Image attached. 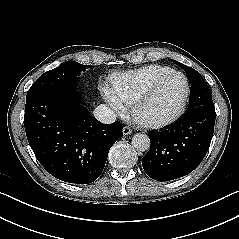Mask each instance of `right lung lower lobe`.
Segmentation results:
<instances>
[{"label":"right lung lower lobe","instance_id":"1","mask_svg":"<svg viewBox=\"0 0 239 239\" xmlns=\"http://www.w3.org/2000/svg\"><path fill=\"white\" fill-rule=\"evenodd\" d=\"M72 87L26 97L28 142L44 169L59 180L89 184L102 173L122 124H102L81 105Z\"/></svg>","mask_w":239,"mask_h":239}]
</instances>
